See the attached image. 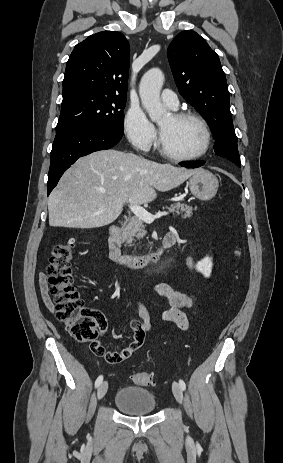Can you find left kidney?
I'll list each match as a JSON object with an SVG mask.
<instances>
[{"instance_id":"left-kidney-1","label":"left kidney","mask_w":283,"mask_h":463,"mask_svg":"<svg viewBox=\"0 0 283 463\" xmlns=\"http://www.w3.org/2000/svg\"><path fill=\"white\" fill-rule=\"evenodd\" d=\"M212 266V258L207 256L196 264V269L198 272L202 273L204 277L208 278L211 275Z\"/></svg>"}]
</instances>
